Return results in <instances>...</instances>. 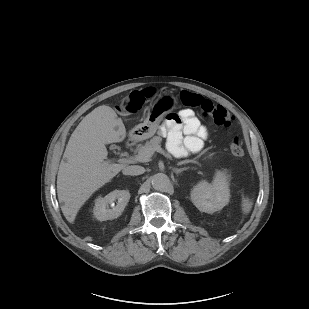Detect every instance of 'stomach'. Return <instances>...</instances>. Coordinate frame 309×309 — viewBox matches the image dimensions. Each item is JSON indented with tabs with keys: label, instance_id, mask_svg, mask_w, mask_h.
<instances>
[{
	"label": "stomach",
	"instance_id": "obj_1",
	"mask_svg": "<svg viewBox=\"0 0 309 309\" xmlns=\"http://www.w3.org/2000/svg\"><path fill=\"white\" fill-rule=\"evenodd\" d=\"M176 103V98L172 94H160L148 107L144 122L136 125L130 131V135L137 140H144L152 137L161 120L175 108Z\"/></svg>",
	"mask_w": 309,
	"mask_h": 309
}]
</instances>
